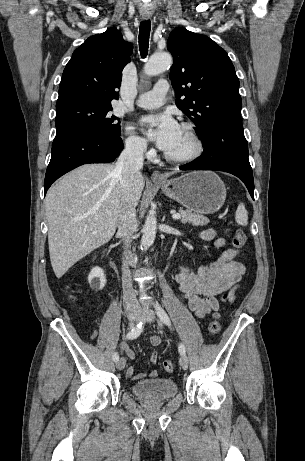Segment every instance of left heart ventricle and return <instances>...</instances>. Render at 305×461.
I'll return each instance as SVG.
<instances>
[{"label": "left heart ventricle", "mask_w": 305, "mask_h": 461, "mask_svg": "<svg viewBox=\"0 0 305 461\" xmlns=\"http://www.w3.org/2000/svg\"><path fill=\"white\" fill-rule=\"evenodd\" d=\"M194 143L186 130L180 127L178 136L173 145L166 151L172 156H184L192 152Z\"/></svg>", "instance_id": "left-heart-ventricle-1"}]
</instances>
